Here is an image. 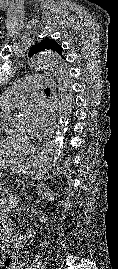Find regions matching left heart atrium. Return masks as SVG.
<instances>
[{
    "mask_svg": "<svg viewBox=\"0 0 118 269\" xmlns=\"http://www.w3.org/2000/svg\"><path fill=\"white\" fill-rule=\"evenodd\" d=\"M51 120L48 106L42 101H33L26 106L24 114L25 131L32 139L46 134Z\"/></svg>",
    "mask_w": 118,
    "mask_h": 269,
    "instance_id": "left-heart-atrium-1",
    "label": "left heart atrium"
}]
</instances>
